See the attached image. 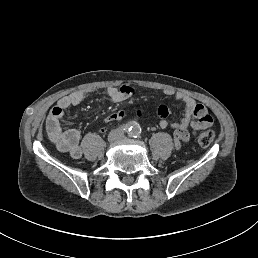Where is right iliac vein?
Listing matches in <instances>:
<instances>
[{
  "label": "right iliac vein",
  "mask_w": 258,
  "mask_h": 258,
  "mask_svg": "<svg viewBox=\"0 0 258 258\" xmlns=\"http://www.w3.org/2000/svg\"><path fill=\"white\" fill-rule=\"evenodd\" d=\"M120 139V133L118 131H113L109 137H108V140L109 142L111 143H114L116 141H118Z\"/></svg>",
  "instance_id": "obj_1"
}]
</instances>
